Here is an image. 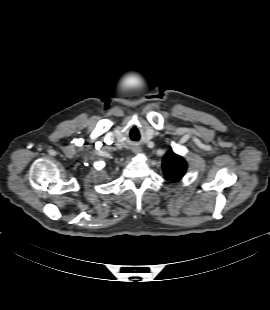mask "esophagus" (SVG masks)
I'll return each instance as SVG.
<instances>
[{"instance_id":"obj_1","label":"esophagus","mask_w":270,"mask_h":310,"mask_svg":"<svg viewBox=\"0 0 270 310\" xmlns=\"http://www.w3.org/2000/svg\"><path fill=\"white\" fill-rule=\"evenodd\" d=\"M134 153H139V152H141L142 150H141V148H139V147H136V148H134Z\"/></svg>"}]
</instances>
